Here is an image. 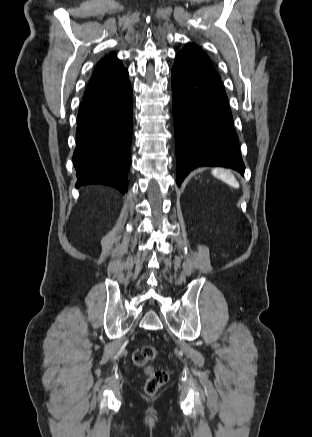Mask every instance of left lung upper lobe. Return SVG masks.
Segmentation results:
<instances>
[{
	"label": "left lung upper lobe",
	"instance_id": "1",
	"mask_svg": "<svg viewBox=\"0 0 312 437\" xmlns=\"http://www.w3.org/2000/svg\"><path fill=\"white\" fill-rule=\"evenodd\" d=\"M182 51H188L191 52L192 54L199 56L203 59H205L207 62L211 63V61L209 60L208 56L206 55L205 52H203L201 49H199L198 47H196L195 45H191L188 44ZM212 64V63H211Z\"/></svg>",
	"mask_w": 312,
	"mask_h": 437
}]
</instances>
